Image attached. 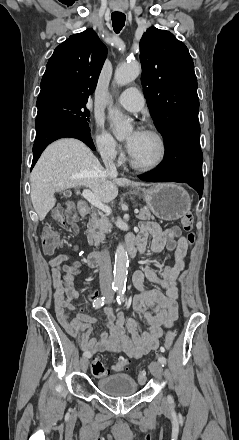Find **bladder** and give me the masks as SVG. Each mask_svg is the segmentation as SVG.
<instances>
[{
	"label": "bladder",
	"instance_id": "31cf9c89",
	"mask_svg": "<svg viewBox=\"0 0 239 440\" xmlns=\"http://www.w3.org/2000/svg\"><path fill=\"white\" fill-rule=\"evenodd\" d=\"M98 389L113 397H123L135 394L138 391L136 380L126 373H115L101 377L97 381Z\"/></svg>",
	"mask_w": 239,
	"mask_h": 440
}]
</instances>
